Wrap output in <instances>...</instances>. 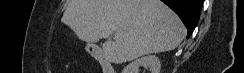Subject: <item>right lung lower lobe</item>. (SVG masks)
Listing matches in <instances>:
<instances>
[{"instance_id": "98d812e1", "label": "right lung lower lobe", "mask_w": 244, "mask_h": 73, "mask_svg": "<svg viewBox=\"0 0 244 73\" xmlns=\"http://www.w3.org/2000/svg\"><path fill=\"white\" fill-rule=\"evenodd\" d=\"M169 6L183 21L190 37L198 24L203 0H161Z\"/></svg>"}]
</instances>
